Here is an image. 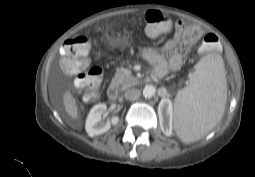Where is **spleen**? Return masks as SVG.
Instances as JSON below:
<instances>
[{"instance_id":"spleen-1","label":"spleen","mask_w":255,"mask_h":177,"mask_svg":"<svg viewBox=\"0 0 255 177\" xmlns=\"http://www.w3.org/2000/svg\"><path fill=\"white\" fill-rule=\"evenodd\" d=\"M189 86L178 92L174 104V128L183 142L201 139L220 121L227 100L223 59L208 54L195 65Z\"/></svg>"}]
</instances>
